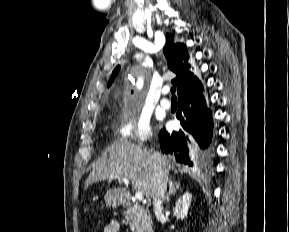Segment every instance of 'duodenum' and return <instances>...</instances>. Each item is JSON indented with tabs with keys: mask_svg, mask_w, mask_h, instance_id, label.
I'll return each instance as SVG.
<instances>
[{
	"mask_svg": "<svg viewBox=\"0 0 289 232\" xmlns=\"http://www.w3.org/2000/svg\"><path fill=\"white\" fill-rule=\"evenodd\" d=\"M119 201L123 205H130L131 204V196L128 192H122L119 196Z\"/></svg>",
	"mask_w": 289,
	"mask_h": 232,
	"instance_id": "410a0bca",
	"label": "duodenum"
}]
</instances>
